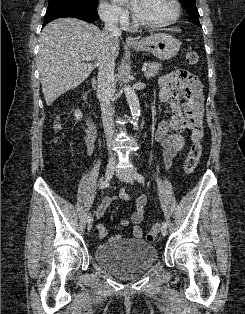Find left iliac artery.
<instances>
[{
    "label": "left iliac artery",
    "mask_w": 245,
    "mask_h": 314,
    "mask_svg": "<svg viewBox=\"0 0 245 314\" xmlns=\"http://www.w3.org/2000/svg\"><path fill=\"white\" fill-rule=\"evenodd\" d=\"M134 178H135L136 181L139 182V183H144V181H145V180H144V177H143L141 174H139V173H135ZM162 226L165 227V228H167V223H166V222H163V223H162Z\"/></svg>",
    "instance_id": "obj_1"
}]
</instances>
